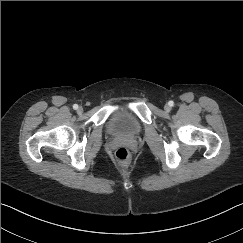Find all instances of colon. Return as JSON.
I'll list each match as a JSON object with an SVG mask.
<instances>
[{"label":"colon","mask_w":243,"mask_h":243,"mask_svg":"<svg viewBox=\"0 0 243 243\" xmlns=\"http://www.w3.org/2000/svg\"><path fill=\"white\" fill-rule=\"evenodd\" d=\"M115 161L120 167H126L130 164L131 156L125 147H119L115 152Z\"/></svg>","instance_id":"colon-1"}]
</instances>
